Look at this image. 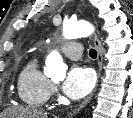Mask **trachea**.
Returning a JSON list of instances; mask_svg holds the SVG:
<instances>
[{
    "instance_id": "3493384b",
    "label": "trachea",
    "mask_w": 133,
    "mask_h": 118,
    "mask_svg": "<svg viewBox=\"0 0 133 118\" xmlns=\"http://www.w3.org/2000/svg\"><path fill=\"white\" fill-rule=\"evenodd\" d=\"M89 55L91 58L95 59L97 57V51L95 49H91L89 51Z\"/></svg>"
}]
</instances>
